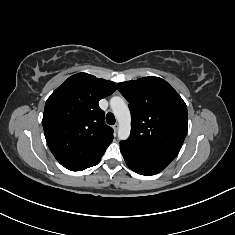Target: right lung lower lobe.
Masks as SVG:
<instances>
[{"mask_svg":"<svg viewBox=\"0 0 235 235\" xmlns=\"http://www.w3.org/2000/svg\"><path fill=\"white\" fill-rule=\"evenodd\" d=\"M101 157H102V156H101ZM101 157L98 158L97 160H95L94 162H92V163H90V164H88V165H85V166L66 167V168L69 169V170H71V171H82V170H85L86 168H89V167H91V166H94V165L98 164L99 161H100V159H101Z\"/></svg>","mask_w":235,"mask_h":235,"instance_id":"98d812e1","label":"right lung lower lobe"}]
</instances>
